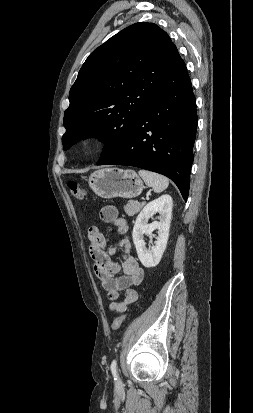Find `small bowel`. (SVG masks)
Segmentation results:
<instances>
[{
    "label": "small bowel",
    "mask_w": 253,
    "mask_h": 413,
    "mask_svg": "<svg viewBox=\"0 0 253 413\" xmlns=\"http://www.w3.org/2000/svg\"><path fill=\"white\" fill-rule=\"evenodd\" d=\"M100 218L116 227L122 238L115 246L107 249V239L102 230L98 226H91L88 229L89 254L93 260L94 272L110 300L109 308L115 312H124L138 298L135 287L142 283L144 270L132 255L133 245L127 235L128 226L126 220L119 216L117 208L104 206ZM118 251L123 254L121 263L112 259ZM120 272L123 274L118 276ZM122 291L124 298L118 301Z\"/></svg>",
    "instance_id": "obj_1"
}]
</instances>
